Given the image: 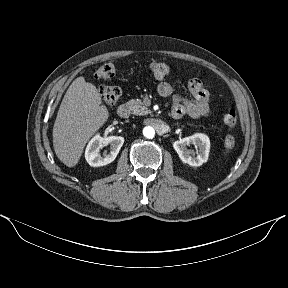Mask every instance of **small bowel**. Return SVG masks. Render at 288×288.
Wrapping results in <instances>:
<instances>
[{
	"label": "small bowel",
	"mask_w": 288,
	"mask_h": 288,
	"mask_svg": "<svg viewBox=\"0 0 288 288\" xmlns=\"http://www.w3.org/2000/svg\"><path fill=\"white\" fill-rule=\"evenodd\" d=\"M188 90L193 96V100H186L174 94L173 86L166 81L158 85V93L163 97H172V116L176 119L183 116L199 118L205 116L210 111V93L205 89L203 82L198 78H193L188 82Z\"/></svg>",
	"instance_id": "1"
}]
</instances>
